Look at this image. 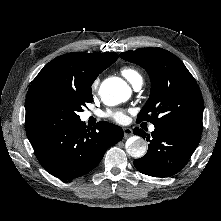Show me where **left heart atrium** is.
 Instances as JSON below:
<instances>
[{
  "label": "left heart atrium",
  "instance_id": "39dd6f15",
  "mask_svg": "<svg viewBox=\"0 0 221 221\" xmlns=\"http://www.w3.org/2000/svg\"><path fill=\"white\" fill-rule=\"evenodd\" d=\"M105 117L114 120L115 122L118 123H123L126 120V116L124 111L121 110H108L105 113Z\"/></svg>",
  "mask_w": 221,
  "mask_h": 221
}]
</instances>
